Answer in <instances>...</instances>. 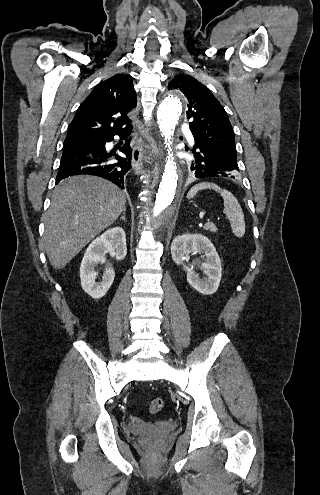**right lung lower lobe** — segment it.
<instances>
[{
    "mask_svg": "<svg viewBox=\"0 0 320 495\" xmlns=\"http://www.w3.org/2000/svg\"><path fill=\"white\" fill-rule=\"evenodd\" d=\"M131 130L132 128L130 127L124 131L111 133L98 138L94 142L65 144L56 184L72 175L90 174L106 178L120 188H124V177L131 169L132 149L130 139L120 149L126 157L115 155V159L118 160L117 163H110V157L114 154L106 151L105 144L112 141L115 135H119L123 139L126 138L131 133Z\"/></svg>",
    "mask_w": 320,
    "mask_h": 495,
    "instance_id": "right-lung-lower-lobe-1",
    "label": "right lung lower lobe"
}]
</instances>
